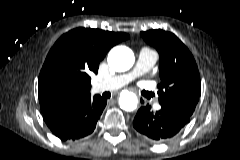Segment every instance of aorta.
Segmentation results:
<instances>
[{
	"instance_id": "obj_1",
	"label": "aorta",
	"mask_w": 240,
	"mask_h": 160,
	"mask_svg": "<svg viewBox=\"0 0 240 160\" xmlns=\"http://www.w3.org/2000/svg\"><path fill=\"white\" fill-rule=\"evenodd\" d=\"M134 54L126 46H116L108 54V64L116 72H125L134 64ZM120 107L128 112L134 111L138 106L137 96L133 92L123 91L119 97Z\"/></svg>"
}]
</instances>
